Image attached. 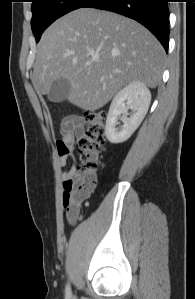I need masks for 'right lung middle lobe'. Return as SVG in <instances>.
Wrapping results in <instances>:
<instances>
[{
	"mask_svg": "<svg viewBox=\"0 0 195 299\" xmlns=\"http://www.w3.org/2000/svg\"><path fill=\"white\" fill-rule=\"evenodd\" d=\"M89 0H33L31 28L36 42L40 40L41 33L56 19L83 7Z\"/></svg>",
	"mask_w": 195,
	"mask_h": 299,
	"instance_id": "obj_1",
	"label": "right lung middle lobe"
}]
</instances>
